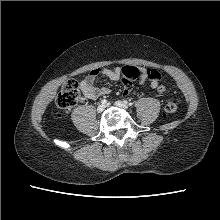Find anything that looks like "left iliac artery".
<instances>
[{
	"mask_svg": "<svg viewBox=\"0 0 220 220\" xmlns=\"http://www.w3.org/2000/svg\"><path fill=\"white\" fill-rule=\"evenodd\" d=\"M129 105H130V106H132V105H133V103H131V102H130V103H129Z\"/></svg>",
	"mask_w": 220,
	"mask_h": 220,
	"instance_id": "44dca946",
	"label": "left iliac artery"
}]
</instances>
